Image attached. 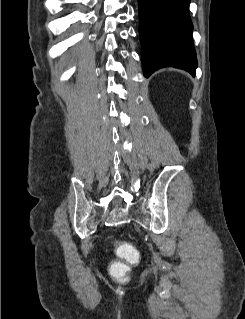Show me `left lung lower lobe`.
Masks as SVG:
<instances>
[{
	"label": "left lung lower lobe",
	"mask_w": 245,
	"mask_h": 319,
	"mask_svg": "<svg viewBox=\"0 0 245 319\" xmlns=\"http://www.w3.org/2000/svg\"><path fill=\"white\" fill-rule=\"evenodd\" d=\"M142 67L149 77L162 67H175L193 76L197 68L192 41L190 0H138Z\"/></svg>",
	"instance_id": "left-lung-lower-lobe-1"
}]
</instances>
